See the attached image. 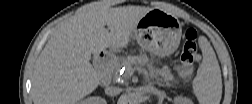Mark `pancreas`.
<instances>
[{
  "instance_id": "obj_1",
  "label": "pancreas",
  "mask_w": 252,
  "mask_h": 104,
  "mask_svg": "<svg viewBox=\"0 0 252 104\" xmlns=\"http://www.w3.org/2000/svg\"><path fill=\"white\" fill-rule=\"evenodd\" d=\"M126 64L135 68L137 65L149 66L150 61L145 56H135V57L128 58L126 60ZM121 66L122 64L119 63L118 60H115L113 63L107 66V72L112 75L115 71H118L121 68ZM158 75L161 76L164 79V81L167 83L174 80V77L168 66H163L162 68H160L158 70ZM125 77H129V74L127 73Z\"/></svg>"
}]
</instances>
